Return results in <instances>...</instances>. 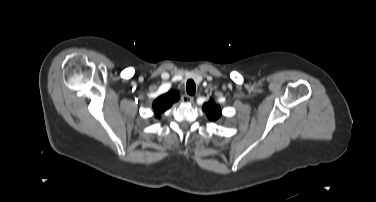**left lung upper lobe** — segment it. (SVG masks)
Returning a JSON list of instances; mask_svg holds the SVG:
<instances>
[{"label":"left lung upper lobe","instance_id":"5c2ea615","mask_svg":"<svg viewBox=\"0 0 376 202\" xmlns=\"http://www.w3.org/2000/svg\"><path fill=\"white\" fill-rule=\"evenodd\" d=\"M203 110L208 116V118L212 121L219 119L221 116L220 107L216 105L214 101L211 99L207 103L204 104Z\"/></svg>","mask_w":376,"mask_h":202}]
</instances>
